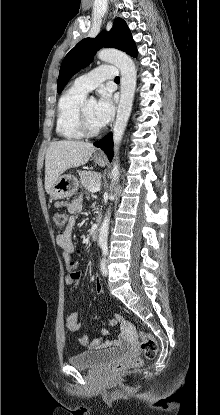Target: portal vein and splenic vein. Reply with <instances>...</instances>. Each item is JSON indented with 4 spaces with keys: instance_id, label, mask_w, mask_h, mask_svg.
I'll use <instances>...</instances> for the list:
<instances>
[{
    "instance_id": "1",
    "label": "portal vein and splenic vein",
    "mask_w": 220,
    "mask_h": 415,
    "mask_svg": "<svg viewBox=\"0 0 220 415\" xmlns=\"http://www.w3.org/2000/svg\"><path fill=\"white\" fill-rule=\"evenodd\" d=\"M100 186H101L100 184H97V185L93 186L90 189V192L95 193V192L99 191L100 190Z\"/></svg>"
}]
</instances>
